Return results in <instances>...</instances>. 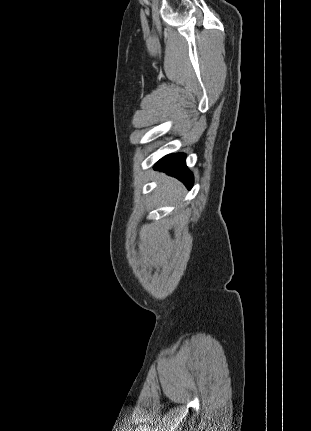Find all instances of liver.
<instances>
[{"mask_svg": "<svg viewBox=\"0 0 311 431\" xmlns=\"http://www.w3.org/2000/svg\"><path fill=\"white\" fill-rule=\"evenodd\" d=\"M166 182H164L163 186H160V194L162 198H173V200H176V198H179L180 192H179V186L178 182L176 180H169V178H164Z\"/></svg>", "mask_w": 311, "mask_h": 431, "instance_id": "obj_1", "label": "liver"}]
</instances>
